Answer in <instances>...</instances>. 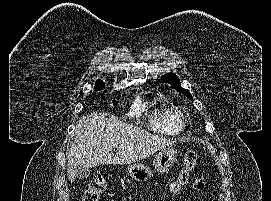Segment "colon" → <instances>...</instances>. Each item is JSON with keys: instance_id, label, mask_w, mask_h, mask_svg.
Returning <instances> with one entry per match:
<instances>
[{"instance_id": "colon-1", "label": "colon", "mask_w": 271, "mask_h": 201, "mask_svg": "<svg viewBox=\"0 0 271 201\" xmlns=\"http://www.w3.org/2000/svg\"><path fill=\"white\" fill-rule=\"evenodd\" d=\"M198 161V154L189 150L184 156L182 168L176 178L170 185V192L177 193L185 186L190 178L191 172L194 170ZM107 188V180L103 176L96 177L91 181L88 189L85 191L82 201H99L100 196Z\"/></svg>"}]
</instances>
